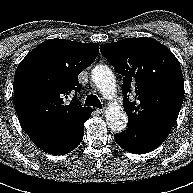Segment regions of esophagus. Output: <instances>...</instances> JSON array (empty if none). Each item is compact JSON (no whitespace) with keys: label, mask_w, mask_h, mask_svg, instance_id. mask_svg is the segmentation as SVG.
Here are the masks:
<instances>
[{"label":"esophagus","mask_w":193,"mask_h":193,"mask_svg":"<svg viewBox=\"0 0 193 193\" xmlns=\"http://www.w3.org/2000/svg\"><path fill=\"white\" fill-rule=\"evenodd\" d=\"M104 110H105V107H102L101 109H97V111H98L99 113H103Z\"/></svg>","instance_id":"obj_1"}]
</instances>
